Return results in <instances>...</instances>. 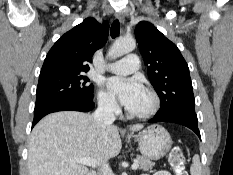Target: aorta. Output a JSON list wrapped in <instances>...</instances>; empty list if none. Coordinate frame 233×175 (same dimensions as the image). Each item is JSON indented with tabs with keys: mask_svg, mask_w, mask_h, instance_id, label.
<instances>
[{
	"mask_svg": "<svg viewBox=\"0 0 233 175\" xmlns=\"http://www.w3.org/2000/svg\"><path fill=\"white\" fill-rule=\"evenodd\" d=\"M136 47V42L133 39L121 38L115 41L111 46L108 56L112 59L119 58L124 54L132 52Z\"/></svg>",
	"mask_w": 233,
	"mask_h": 175,
	"instance_id": "762f6f07",
	"label": "aorta"
}]
</instances>
